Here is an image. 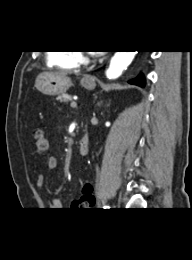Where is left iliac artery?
<instances>
[{
  "label": "left iliac artery",
  "instance_id": "44dca946",
  "mask_svg": "<svg viewBox=\"0 0 192 260\" xmlns=\"http://www.w3.org/2000/svg\"><path fill=\"white\" fill-rule=\"evenodd\" d=\"M104 208H109L108 206H105Z\"/></svg>",
  "mask_w": 192,
  "mask_h": 260
}]
</instances>
